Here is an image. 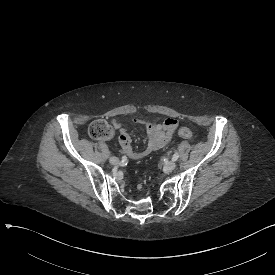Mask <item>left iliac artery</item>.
<instances>
[{
  "mask_svg": "<svg viewBox=\"0 0 275 275\" xmlns=\"http://www.w3.org/2000/svg\"><path fill=\"white\" fill-rule=\"evenodd\" d=\"M178 157H179V154H178V152L176 151V152L174 153L173 157H172V160H173V161H177Z\"/></svg>",
  "mask_w": 275,
  "mask_h": 275,
  "instance_id": "left-iliac-artery-1",
  "label": "left iliac artery"
}]
</instances>
